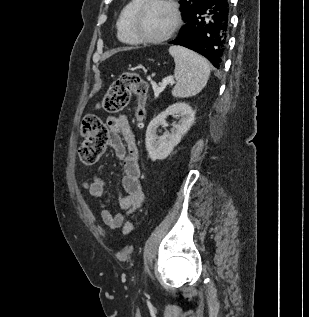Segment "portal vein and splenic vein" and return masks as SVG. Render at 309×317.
Returning <instances> with one entry per match:
<instances>
[{"instance_id": "obj_1", "label": "portal vein and splenic vein", "mask_w": 309, "mask_h": 317, "mask_svg": "<svg viewBox=\"0 0 309 317\" xmlns=\"http://www.w3.org/2000/svg\"><path fill=\"white\" fill-rule=\"evenodd\" d=\"M168 83L173 84L174 81H173L172 79L166 78V79L163 80V82H162V84H161L160 87H158L155 82L152 83V87H153L155 93H160L161 90H162L163 88H165V86H166Z\"/></svg>"}]
</instances>
